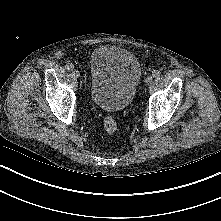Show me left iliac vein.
<instances>
[{"label":"left iliac vein","mask_w":221,"mask_h":221,"mask_svg":"<svg viewBox=\"0 0 221 221\" xmlns=\"http://www.w3.org/2000/svg\"><path fill=\"white\" fill-rule=\"evenodd\" d=\"M152 81H153L152 76H147L146 79H145V83H146L147 85L151 84Z\"/></svg>","instance_id":"1"}]
</instances>
